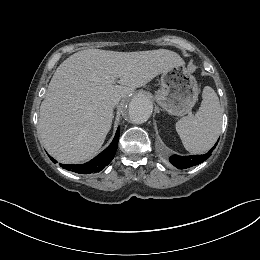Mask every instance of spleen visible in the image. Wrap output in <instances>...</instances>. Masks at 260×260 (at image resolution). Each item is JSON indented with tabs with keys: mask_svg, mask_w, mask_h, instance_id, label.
Returning a JSON list of instances; mask_svg holds the SVG:
<instances>
[{
	"mask_svg": "<svg viewBox=\"0 0 260 260\" xmlns=\"http://www.w3.org/2000/svg\"><path fill=\"white\" fill-rule=\"evenodd\" d=\"M222 114L218 96L211 87L206 86L196 114L176 123V131L184 148L193 154L208 151L220 134Z\"/></svg>",
	"mask_w": 260,
	"mask_h": 260,
	"instance_id": "spleen-1",
	"label": "spleen"
}]
</instances>
